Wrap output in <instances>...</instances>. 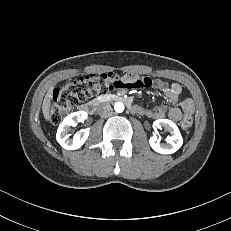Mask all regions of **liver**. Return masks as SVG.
Here are the masks:
<instances>
[{
  "label": "liver",
  "instance_id": "6515ba94",
  "mask_svg": "<svg viewBox=\"0 0 231 231\" xmlns=\"http://www.w3.org/2000/svg\"><path fill=\"white\" fill-rule=\"evenodd\" d=\"M53 88H54V86H51L49 88L48 92L46 93V95L44 97L43 104H42V113H43L44 118L47 121L51 120L50 106H51Z\"/></svg>",
  "mask_w": 231,
  "mask_h": 231
}]
</instances>
